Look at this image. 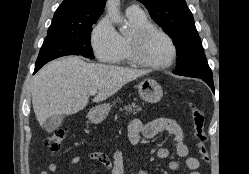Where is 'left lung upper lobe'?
<instances>
[{
	"label": "left lung upper lobe",
	"mask_w": 249,
	"mask_h": 174,
	"mask_svg": "<svg viewBox=\"0 0 249 174\" xmlns=\"http://www.w3.org/2000/svg\"><path fill=\"white\" fill-rule=\"evenodd\" d=\"M148 9L151 18L170 36L177 50L174 74L213 78L185 0H138Z\"/></svg>",
	"instance_id": "obj_1"
}]
</instances>
